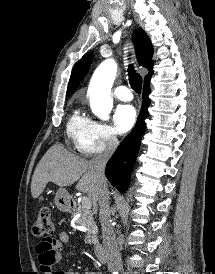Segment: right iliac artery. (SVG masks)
I'll list each match as a JSON object with an SVG mask.
<instances>
[{"mask_svg": "<svg viewBox=\"0 0 215 274\" xmlns=\"http://www.w3.org/2000/svg\"><path fill=\"white\" fill-rule=\"evenodd\" d=\"M113 274H118L117 272H114Z\"/></svg>", "mask_w": 215, "mask_h": 274, "instance_id": "right-iliac-artery-1", "label": "right iliac artery"}]
</instances>
